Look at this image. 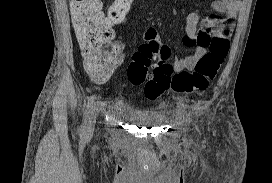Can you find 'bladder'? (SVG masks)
I'll use <instances>...</instances> for the list:
<instances>
[{
	"mask_svg": "<svg viewBox=\"0 0 272 183\" xmlns=\"http://www.w3.org/2000/svg\"><path fill=\"white\" fill-rule=\"evenodd\" d=\"M137 121H139L140 123H144V124H152V123H154L153 121H155V120H152L150 118H145V119H138Z\"/></svg>",
	"mask_w": 272,
	"mask_h": 183,
	"instance_id": "obj_1",
	"label": "bladder"
}]
</instances>
